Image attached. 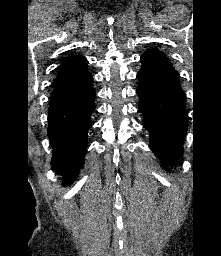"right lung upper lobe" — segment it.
<instances>
[{
  "mask_svg": "<svg viewBox=\"0 0 221 256\" xmlns=\"http://www.w3.org/2000/svg\"><path fill=\"white\" fill-rule=\"evenodd\" d=\"M88 61L74 55L60 67L51 103L62 102L92 90V75L87 70Z\"/></svg>",
  "mask_w": 221,
  "mask_h": 256,
  "instance_id": "cb5924a9",
  "label": "right lung upper lobe"
}]
</instances>
